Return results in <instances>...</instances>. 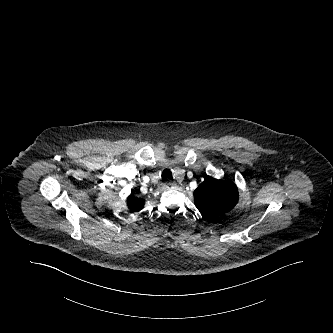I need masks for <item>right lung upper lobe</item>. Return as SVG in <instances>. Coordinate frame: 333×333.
Wrapping results in <instances>:
<instances>
[{
    "mask_svg": "<svg viewBox=\"0 0 333 333\" xmlns=\"http://www.w3.org/2000/svg\"><path fill=\"white\" fill-rule=\"evenodd\" d=\"M144 200L136 195L131 194L127 199V204L132 212H138L144 207Z\"/></svg>",
    "mask_w": 333,
    "mask_h": 333,
    "instance_id": "1",
    "label": "right lung upper lobe"
}]
</instances>
